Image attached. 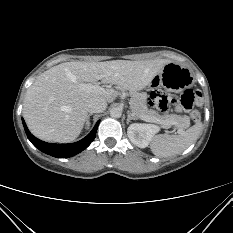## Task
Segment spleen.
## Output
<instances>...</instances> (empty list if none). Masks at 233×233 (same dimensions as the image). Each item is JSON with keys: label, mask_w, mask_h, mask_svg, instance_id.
Masks as SVG:
<instances>
[{"label": "spleen", "mask_w": 233, "mask_h": 233, "mask_svg": "<svg viewBox=\"0 0 233 233\" xmlns=\"http://www.w3.org/2000/svg\"><path fill=\"white\" fill-rule=\"evenodd\" d=\"M202 124L197 123L181 134L161 135L153 139L150 149L158 157L179 154L193 144L200 136Z\"/></svg>", "instance_id": "spleen-1"}]
</instances>
